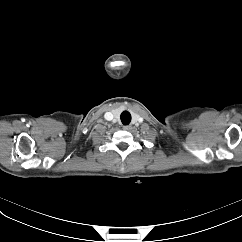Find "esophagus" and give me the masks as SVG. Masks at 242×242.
Segmentation results:
<instances>
[{
  "label": "esophagus",
  "mask_w": 242,
  "mask_h": 242,
  "mask_svg": "<svg viewBox=\"0 0 242 242\" xmlns=\"http://www.w3.org/2000/svg\"><path fill=\"white\" fill-rule=\"evenodd\" d=\"M123 129L124 130H130L131 129V126L130 125L123 126Z\"/></svg>",
  "instance_id": "34e87169"
}]
</instances>
